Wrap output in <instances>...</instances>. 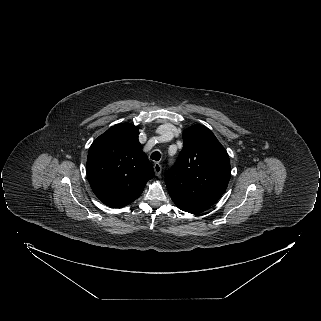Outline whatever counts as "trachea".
Here are the masks:
<instances>
[{
    "label": "trachea",
    "instance_id": "trachea-1",
    "mask_svg": "<svg viewBox=\"0 0 321 321\" xmlns=\"http://www.w3.org/2000/svg\"><path fill=\"white\" fill-rule=\"evenodd\" d=\"M150 158L155 161H159L161 158V154L158 151H155L151 154Z\"/></svg>",
    "mask_w": 321,
    "mask_h": 321
}]
</instances>
